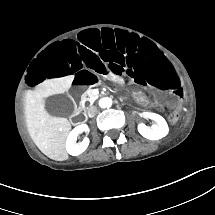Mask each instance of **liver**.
I'll use <instances>...</instances> for the list:
<instances>
[{"instance_id": "obj_1", "label": "liver", "mask_w": 215, "mask_h": 215, "mask_svg": "<svg viewBox=\"0 0 215 215\" xmlns=\"http://www.w3.org/2000/svg\"><path fill=\"white\" fill-rule=\"evenodd\" d=\"M73 80L74 75L45 80L36 86L35 91H28L26 94L25 114L29 135L36 146L54 160L68 158L65 143L71 124L64 117L49 115L45 110L44 97L67 92Z\"/></svg>"}]
</instances>
